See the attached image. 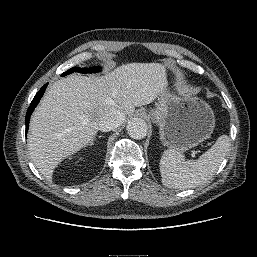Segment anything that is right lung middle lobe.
<instances>
[{
  "instance_id": "obj_1",
  "label": "right lung middle lobe",
  "mask_w": 257,
  "mask_h": 257,
  "mask_svg": "<svg viewBox=\"0 0 257 257\" xmlns=\"http://www.w3.org/2000/svg\"><path fill=\"white\" fill-rule=\"evenodd\" d=\"M100 71V67H91V68H78V67H73L69 69L68 71L64 72L62 76L71 74L73 72H79V73H94Z\"/></svg>"
}]
</instances>
